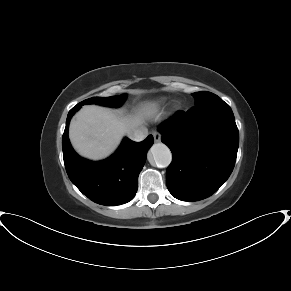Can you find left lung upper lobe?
Returning <instances> with one entry per match:
<instances>
[{"label":"left lung upper lobe","instance_id":"1","mask_svg":"<svg viewBox=\"0 0 291 291\" xmlns=\"http://www.w3.org/2000/svg\"><path fill=\"white\" fill-rule=\"evenodd\" d=\"M192 95L195 99V106H200L207 102H210L212 100L219 98L217 95L211 92H207V91L196 92V93H193Z\"/></svg>","mask_w":291,"mask_h":291}]
</instances>
